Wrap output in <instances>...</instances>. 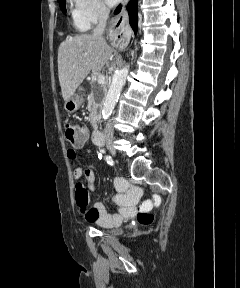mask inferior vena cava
<instances>
[{"instance_id":"602c4592","label":"inferior vena cava","mask_w":240,"mask_h":288,"mask_svg":"<svg viewBox=\"0 0 240 288\" xmlns=\"http://www.w3.org/2000/svg\"><path fill=\"white\" fill-rule=\"evenodd\" d=\"M109 16V9L105 6H102L99 10V22L97 24V26L94 28L92 36L94 38H98L101 40H104L102 35L105 31L106 25H107V19ZM113 125L111 123H108L106 128H105V133H104V137L107 141L112 140L113 139Z\"/></svg>"}]
</instances>
